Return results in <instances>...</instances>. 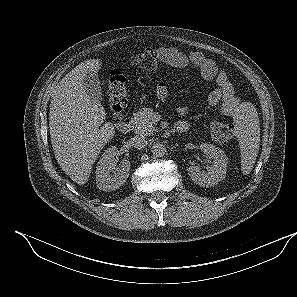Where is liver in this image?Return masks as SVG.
Masks as SVG:
<instances>
[{"label": "liver", "instance_id": "liver-1", "mask_svg": "<svg viewBox=\"0 0 297 297\" xmlns=\"http://www.w3.org/2000/svg\"><path fill=\"white\" fill-rule=\"evenodd\" d=\"M101 64L99 59H90L77 65L55 87L50 101L49 127L55 158L79 185L88 181L101 149L114 136L113 125L103 124V106L91 100L83 87L84 76L98 73Z\"/></svg>", "mask_w": 297, "mask_h": 297}]
</instances>
